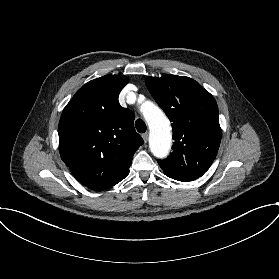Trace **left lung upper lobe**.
Masks as SVG:
<instances>
[{
    "instance_id": "left-lung-upper-lobe-1",
    "label": "left lung upper lobe",
    "mask_w": 279,
    "mask_h": 279,
    "mask_svg": "<svg viewBox=\"0 0 279 279\" xmlns=\"http://www.w3.org/2000/svg\"><path fill=\"white\" fill-rule=\"evenodd\" d=\"M145 82L173 122V152L165 160H158L160 167L179 181L202 176L213 163L221 141L215 99L189 77H147Z\"/></svg>"
}]
</instances>
